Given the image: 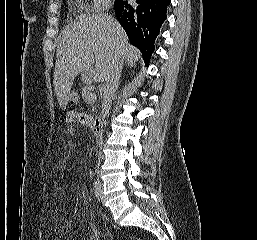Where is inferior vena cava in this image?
I'll use <instances>...</instances> for the list:
<instances>
[{"instance_id":"1","label":"inferior vena cava","mask_w":257,"mask_h":240,"mask_svg":"<svg viewBox=\"0 0 257 240\" xmlns=\"http://www.w3.org/2000/svg\"><path fill=\"white\" fill-rule=\"evenodd\" d=\"M115 45L116 51L112 62V68L106 80V84L103 88V120L108 115L111 108L112 99L119 85V79L122 69V56L120 48L118 43H116Z\"/></svg>"}]
</instances>
